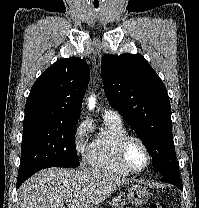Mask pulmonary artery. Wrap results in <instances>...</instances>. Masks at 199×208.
Returning <instances> with one entry per match:
<instances>
[{
  "label": "pulmonary artery",
  "mask_w": 199,
  "mask_h": 208,
  "mask_svg": "<svg viewBox=\"0 0 199 208\" xmlns=\"http://www.w3.org/2000/svg\"><path fill=\"white\" fill-rule=\"evenodd\" d=\"M103 117L112 118V119H116V120H121L120 114L112 108H106L103 111Z\"/></svg>",
  "instance_id": "pulmonary-artery-1"
}]
</instances>
